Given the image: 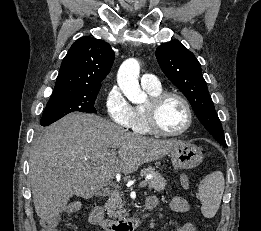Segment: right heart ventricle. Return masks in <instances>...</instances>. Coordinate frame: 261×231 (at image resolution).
Wrapping results in <instances>:
<instances>
[{
	"label": "right heart ventricle",
	"instance_id": "1",
	"mask_svg": "<svg viewBox=\"0 0 261 231\" xmlns=\"http://www.w3.org/2000/svg\"><path fill=\"white\" fill-rule=\"evenodd\" d=\"M145 90L148 92L150 97L156 96L162 92L161 87L158 89L145 88ZM131 129L133 130V132L141 135L152 134V131L146 123L144 106L137 105L133 108Z\"/></svg>",
	"mask_w": 261,
	"mask_h": 231
}]
</instances>
